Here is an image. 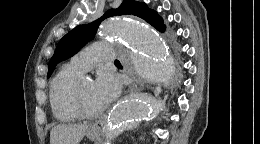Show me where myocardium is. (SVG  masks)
Segmentation results:
<instances>
[{
  "label": "myocardium",
  "mask_w": 260,
  "mask_h": 144,
  "mask_svg": "<svg viewBox=\"0 0 260 144\" xmlns=\"http://www.w3.org/2000/svg\"><path fill=\"white\" fill-rule=\"evenodd\" d=\"M83 83L84 80H79L74 93V99L73 104L77 112L81 117L87 118V119H95L98 118L103 114V109L98 111H92L90 110L85 101H84V95H83Z\"/></svg>",
  "instance_id": "f54148a6"
}]
</instances>
